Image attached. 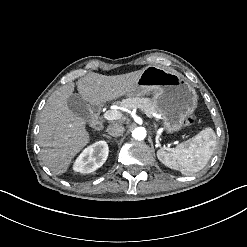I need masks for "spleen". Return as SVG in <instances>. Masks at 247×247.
Masks as SVG:
<instances>
[{
    "label": "spleen",
    "instance_id": "1",
    "mask_svg": "<svg viewBox=\"0 0 247 247\" xmlns=\"http://www.w3.org/2000/svg\"><path fill=\"white\" fill-rule=\"evenodd\" d=\"M217 136L212 128H206L190 141H186L171 152L159 151L157 156L166 166L191 175L204 169L216 145Z\"/></svg>",
    "mask_w": 247,
    "mask_h": 247
}]
</instances>
